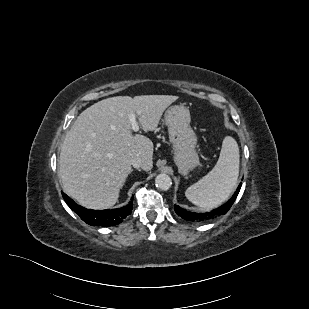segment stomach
Segmentation results:
<instances>
[{"mask_svg": "<svg viewBox=\"0 0 309 309\" xmlns=\"http://www.w3.org/2000/svg\"><path fill=\"white\" fill-rule=\"evenodd\" d=\"M190 121V112L183 105L171 106L165 112V123L174 150V162L183 175L199 163L196 152L197 136L190 126Z\"/></svg>", "mask_w": 309, "mask_h": 309, "instance_id": "stomach-1", "label": "stomach"}]
</instances>
